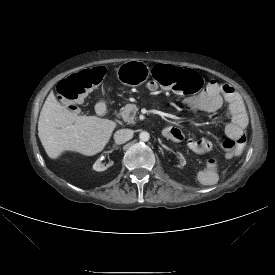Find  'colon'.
I'll return each mask as SVG.
<instances>
[{"label": "colon", "mask_w": 275, "mask_h": 275, "mask_svg": "<svg viewBox=\"0 0 275 275\" xmlns=\"http://www.w3.org/2000/svg\"><path fill=\"white\" fill-rule=\"evenodd\" d=\"M106 75L107 70L102 66L74 73L60 82L59 95L63 100L76 103L89 91L99 86ZM152 78L162 88L178 94H195L203 87V81L197 72L171 65L155 66L152 70ZM246 140V135H242L238 139L226 138L222 142L225 156L230 158L238 155Z\"/></svg>", "instance_id": "obj_1"}]
</instances>
